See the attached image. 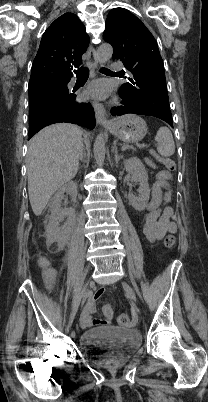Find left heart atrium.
<instances>
[{"label":"left heart atrium","mask_w":208,"mask_h":402,"mask_svg":"<svg viewBox=\"0 0 208 402\" xmlns=\"http://www.w3.org/2000/svg\"><path fill=\"white\" fill-rule=\"evenodd\" d=\"M112 88L108 81L99 79L92 82L84 91L83 96L86 99H103L107 97Z\"/></svg>","instance_id":"1"}]
</instances>
